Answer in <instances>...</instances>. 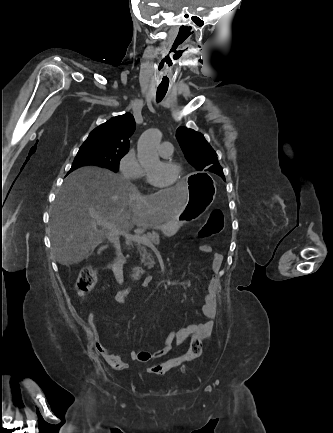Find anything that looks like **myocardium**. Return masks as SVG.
I'll list each match as a JSON object with an SVG mask.
<instances>
[{"mask_svg": "<svg viewBox=\"0 0 333 433\" xmlns=\"http://www.w3.org/2000/svg\"><path fill=\"white\" fill-rule=\"evenodd\" d=\"M162 163L165 164L166 166H169V167L173 168V169L175 170L176 175H175V178H174L173 182L170 183L169 185H160V184L156 183V182L153 180V178L151 177L150 173L147 172L149 182H150L154 187H156V188H158V189H160V190L172 189V188H174V187L178 184V181H179V173H180V166H179L176 162H174V161H172V160H169V159H164V160H162Z\"/></svg>", "mask_w": 333, "mask_h": 433, "instance_id": "f54148a6", "label": "myocardium"}]
</instances>
